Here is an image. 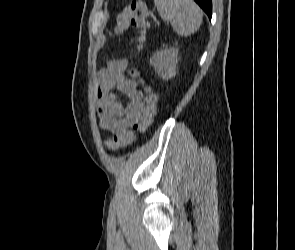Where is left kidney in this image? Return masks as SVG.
Listing matches in <instances>:
<instances>
[{
	"mask_svg": "<svg viewBox=\"0 0 295 250\" xmlns=\"http://www.w3.org/2000/svg\"><path fill=\"white\" fill-rule=\"evenodd\" d=\"M178 61V48L171 47L155 52L150 58V65L162 79L169 80L175 76Z\"/></svg>",
	"mask_w": 295,
	"mask_h": 250,
	"instance_id": "left-kidney-1",
	"label": "left kidney"
}]
</instances>
